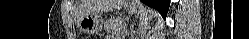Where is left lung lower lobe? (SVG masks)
<instances>
[{"label": "left lung lower lobe", "mask_w": 249, "mask_h": 39, "mask_svg": "<svg viewBox=\"0 0 249 39\" xmlns=\"http://www.w3.org/2000/svg\"><path fill=\"white\" fill-rule=\"evenodd\" d=\"M148 6L157 9L162 16H166L170 4V0H141Z\"/></svg>", "instance_id": "obj_1"}]
</instances>
